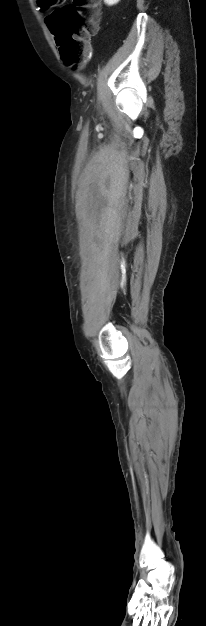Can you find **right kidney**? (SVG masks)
<instances>
[{
  "label": "right kidney",
  "mask_w": 206,
  "mask_h": 626,
  "mask_svg": "<svg viewBox=\"0 0 206 626\" xmlns=\"http://www.w3.org/2000/svg\"><path fill=\"white\" fill-rule=\"evenodd\" d=\"M120 0H104L105 4H107L108 6H112L115 5L119 2Z\"/></svg>",
  "instance_id": "ca27d5eb"
}]
</instances>
